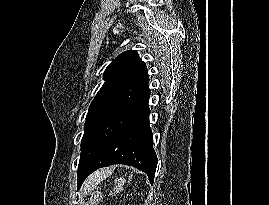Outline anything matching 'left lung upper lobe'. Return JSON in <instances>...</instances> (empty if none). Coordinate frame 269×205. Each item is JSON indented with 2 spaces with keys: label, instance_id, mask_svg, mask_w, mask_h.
Masks as SVG:
<instances>
[{
  "label": "left lung upper lobe",
  "instance_id": "obj_1",
  "mask_svg": "<svg viewBox=\"0 0 269 205\" xmlns=\"http://www.w3.org/2000/svg\"><path fill=\"white\" fill-rule=\"evenodd\" d=\"M103 79L105 82L86 116L81 153L95 132L137 98L149 83L146 65L135 50L117 56L107 66Z\"/></svg>",
  "mask_w": 269,
  "mask_h": 205
}]
</instances>
